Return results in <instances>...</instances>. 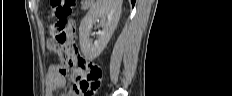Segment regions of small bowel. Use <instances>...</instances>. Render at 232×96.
Returning <instances> with one entry per match:
<instances>
[{
  "mask_svg": "<svg viewBox=\"0 0 232 96\" xmlns=\"http://www.w3.org/2000/svg\"><path fill=\"white\" fill-rule=\"evenodd\" d=\"M68 35H79L80 27L79 22H75L73 19L67 22ZM47 48L54 51L56 44L50 40L47 43ZM85 68H95V63H85ZM66 74L67 70L63 66H51L46 75L47 90L46 94L48 96L53 95V93L59 89H62L66 85ZM80 92L75 84L69 90L68 96H79Z\"/></svg>",
  "mask_w": 232,
  "mask_h": 96,
  "instance_id": "small-bowel-1",
  "label": "small bowel"
}]
</instances>
